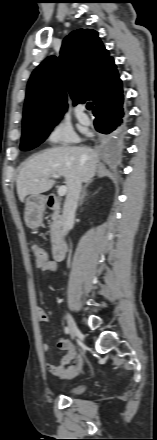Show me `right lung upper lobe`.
<instances>
[{
    "instance_id": "cb5924a9",
    "label": "right lung upper lobe",
    "mask_w": 157,
    "mask_h": 440,
    "mask_svg": "<svg viewBox=\"0 0 157 440\" xmlns=\"http://www.w3.org/2000/svg\"><path fill=\"white\" fill-rule=\"evenodd\" d=\"M66 89L74 105L91 100L93 111L123 93L114 60L93 29L72 31L63 40L60 57H47L33 71L27 85L23 126L59 120L67 110Z\"/></svg>"
}]
</instances>
